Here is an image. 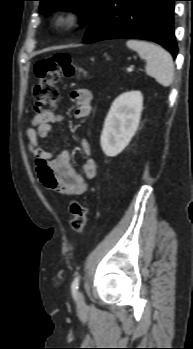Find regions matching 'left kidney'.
I'll use <instances>...</instances> for the list:
<instances>
[{
	"mask_svg": "<svg viewBox=\"0 0 193 349\" xmlns=\"http://www.w3.org/2000/svg\"><path fill=\"white\" fill-rule=\"evenodd\" d=\"M142 109L143 96L140 91L125 92L114 100L100 138L106 156H117L130 143L139 126Z\"/></svg>",
	"mask_w": 193,
	"mask_h": 349,
	"instance_id": "obj_1",
	"label": "left kidney"
}]
</instances>
